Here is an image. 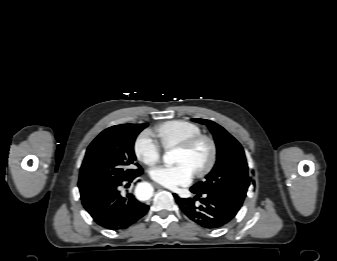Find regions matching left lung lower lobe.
Returning <instances> with one entry per match:
<instances>
[{"instance_id":"obj_1","label":"left lung lower lobe","mask_w":337,"mask_h":261,"mask_svg":"<svg viewBox=\"0 0 337 261\" xmlns=\"http://www.w3.org/2000/svg\"><path fill=\"white\" fill-rule=\"evenodd\" d=\"M195 193V198L174 197L181 211L193 222L206 229H217L228 224L239 210L233 208L227 201L212 194ZM195 200L201 202L200 206L195 205Z\"/></svg>"}]
</instances>
